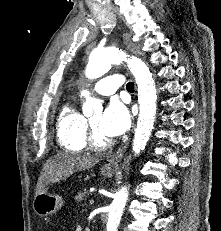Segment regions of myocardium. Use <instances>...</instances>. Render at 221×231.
I'll list each match as a JSON object with an SVG mask.
<instances>
[{
  "label": "myocardium",
  "mask_w": 221,
  "mask_h": 231,
  "mask_svg": "<svg viewBox=\"0 0 221 231\" xmlns=\"http://www.w3.org/2000/svg\"><path fill=\"white\" fill-rule=\"evenodd\" d=\"M85 128H86V142H87V146L90 149L96 151H104L110 148L114 144L113 140H106V141L99 140L89 120H85Z\"/></svg>",
  "instance_id": "1"
}]
</instances>
